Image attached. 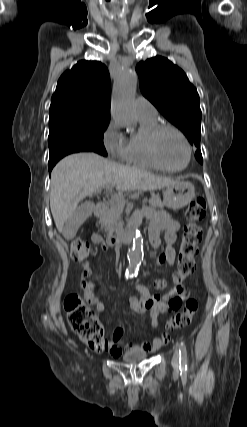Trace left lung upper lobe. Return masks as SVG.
<instances>
[{"instance_id": "1", "label": "left lung upper lobe", "mask_w": 247, "mask_h": 427, "mask_svg": "<svg viewBox=\"0 0 247 427\" xmlns=\"http://www.w3.org/2000/svg\"><path fill=\"white\" fill-rule=\"evenodd\" d=\"M136 70L143 95L186 135L196 149V159L203 163L199 95L186 74L161 56L140 62Z\"/></svg>"}]
</instances>
